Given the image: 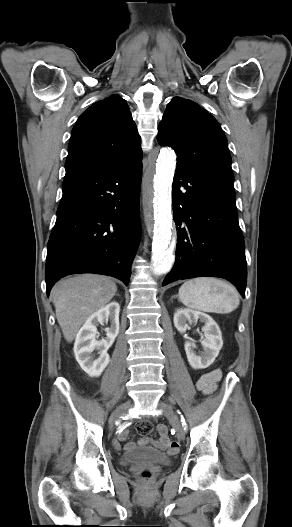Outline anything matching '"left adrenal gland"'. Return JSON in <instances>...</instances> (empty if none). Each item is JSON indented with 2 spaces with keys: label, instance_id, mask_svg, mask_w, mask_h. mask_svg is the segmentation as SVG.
<instances>
[{
  "label": "left adrenal gland",
  "instance_id": "1",
  "mask_svg": "<svg viewBox=\"0 0 292 527\" xmlns=\"http://www.w3.org/2000/svg\"><path fill=\"white\" fill-rule=\"evenodd\" d=\"M173 298H177V295H174V296L172 297V299H173Z\"/></svg>",
  "mask_w": 292,
  "mask_h": 527
}]
</instances>
